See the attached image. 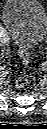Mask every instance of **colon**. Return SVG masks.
<instances>
[{
	"instance_id": "colon-1",
	"label": "colon",
	"mask_w": 47,
	"mask_h": 129,
	"mask_svg": "<svg viewBox=\"0 0 47 129\" xmlns=\"http://www.w3.org/2000/svg\"><path fill=\"white\" fill-rule=\"evenodd\" d=\"M20 57L25 66H27L30 62L29 53L23 49H20ZM16 87L19 89H23L28 84V78L25 75L19 76L15 82Z\"/></svg>"
}]
</instances>
